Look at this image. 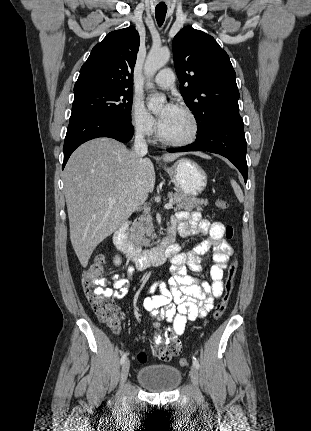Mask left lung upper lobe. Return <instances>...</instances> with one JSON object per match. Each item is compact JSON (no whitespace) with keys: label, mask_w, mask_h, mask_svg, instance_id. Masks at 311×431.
Masks as SVG:
<instances>
[{"label":"left lung upper lobe","mask_w":311,"mask_h":431,"mask_svg":"<svg viewBox=\"0 0 311 431\" xmlns=\"http://www.w3.org/2000/svg\"><path fill=\"white\" fill-rule=\"evenodd\" d=\"M180 92L198 123V134L218 119L239 115L236 74L215 39L184 27L172 42Z\"/></svg>","instance_id":"5c2ea615"}]
</instances>
